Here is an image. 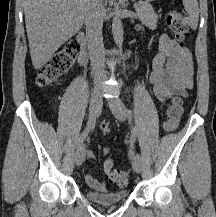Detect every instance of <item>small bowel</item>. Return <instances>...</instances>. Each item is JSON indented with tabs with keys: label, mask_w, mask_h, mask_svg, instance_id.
I'll return each instance as SVG.
<instances>
[{
	"label": "small bowel",
	"mask_w": 216,
	"mask_h": 217,
	"mask_svg": "<svg viewBox=\"0 0 216 217\" xmlns=\"http://www.w3.org/2000/svg\"><path fill=\"white\" fill-rule=\"evenodd\" d=\"M194 65L191 52L188 48L178 44L169 35L163 34L159 39V51L152 60L149 82L153 85V91L157 99L166 103L175 96L187 97L188 92L194 86ZM109 148L105 147L102 154L106 156ZM90 159L95 157L91 150H87ZM110 159L105 160L106 163ZM86 183L99 191H106V183L99 181L92 174L85 175Z\"/></svg>",
	"instance_id": "obj_1"
}]
</instances>
